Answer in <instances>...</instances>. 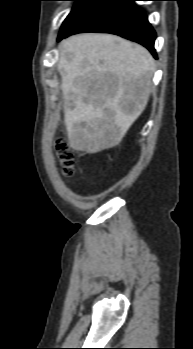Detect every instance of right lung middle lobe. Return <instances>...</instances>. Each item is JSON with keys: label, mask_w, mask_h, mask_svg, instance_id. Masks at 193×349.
<instances>
[{"label": "right lung middle lobe", "mask_w": 193, "mask_h": 349, "mask_svg": "<svg viewBox=\"0 0 193 349\" xmlns=\"http://www.w3.org/2000/svg\"><path fill=\"white\" fill-rule=\"evenodd\" d=\"M76 1V5L73 7L70 14L67 16L62 24L60 34L64 33L72 26H74L81 18L94 9L104 0H71ZM59 34V35H60Z\"/></svg>", "instance_id": "obj_1"}]
</instances>
